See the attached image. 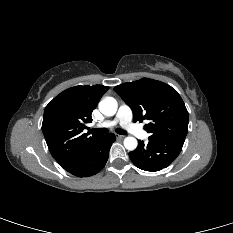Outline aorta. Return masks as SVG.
Wrapping results in <instances>:
<instances>
[{"label": "aorta", "instance_id": "aorta-1", "mask_svg": "<svg viewBox=\"0 0 233 233\" xmlns=\"http://www.w3.org/2000/svg\"><path fill=\"white\" fill-rule=\"evenodd\" d=\"M99 110L105 116H113L117 112L118 103L113 97H107L99 102ZM138 145L137 139L128 136L124 139V146L127 150L133 151Z\"/></svg>", "mask_w": 233, "mask_h": 233}]
</instances>
